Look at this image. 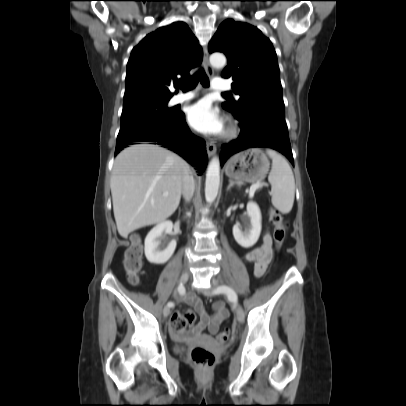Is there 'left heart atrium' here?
I'll list each match as a JSON object with an SVG mask.
<instances>
[{
	"instance_id": "obj_1",
	"label": "left heart atrium",
	"mask_w": 406,
	"mask_h": 406,
	"mask_svg": "<svg viewBox=\"0 0 406 406\" xmlns=\"http://www.w3.org/2000/svg\"><path fill=\"white\" fill-rule=\"evenodd\" d=\"M187 120L196 131L206 135H218L224 129L222 117L206 100L188 107Z\"/></svg>"
}]
</instances>
